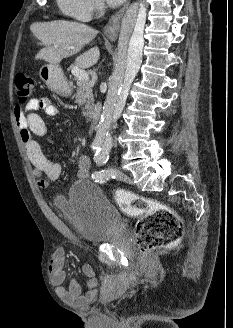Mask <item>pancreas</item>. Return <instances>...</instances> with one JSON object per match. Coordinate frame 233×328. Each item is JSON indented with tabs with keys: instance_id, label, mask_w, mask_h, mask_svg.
Listing matches in <instances>:
<instances>
[{
	"instance_id": "cf45deb5",
	"label": "pancreas",
	"mask_w": 233,
	"mask_h": 328,
	"mask_svg": "<svg viewBox=\"0 0 233 328\" xmlns=\"http://www.w3.org/2000/svg\"><path fill=\"white\" fill-rule=\"evenodd\" d=\"M77 89L75 93V102L84 105L88 117L93 115L94 97L92 93V86L89 82L77 80Z\"/></svg>"
}]
</instances>
